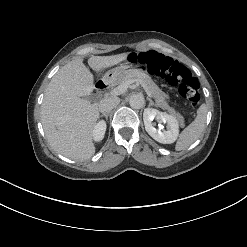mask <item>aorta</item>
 Here are the masks:
<instances>
[{
	"mask_svg": "<svg viewBox=\"0 0 247 247\" xmlns=\"http://www.w3.org/2000/svg\"><path fill=\"white\" fill-rule=\"evenodd\" d=\"M129 104L133 109H141L144 106V97L141 94H133L129 99Z\"/></svg>",
	"mask_w": 247,
	"mask_h": 247,
	"instance_id": "aorta-1",
	"label": "aorta"
}]
</instances>
